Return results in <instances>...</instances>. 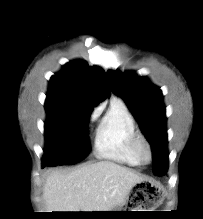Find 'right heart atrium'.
<instances>
[{"label": "right heart atrium", "instance_id": "right-heart-atrium-1", "mask_svg": "<svg viewBox=\"0 0 203 219\" xmlns=\"http://www.w3.org/2000/svg\"><path fill=\"white\" fill-rule=\"evenodd\" d=\"M97 114H98V110H95L93 113H92V118H94L95 116H97Z\"/></svg>", "mask_w": 203, "mask_h": 219}]
</instances>
